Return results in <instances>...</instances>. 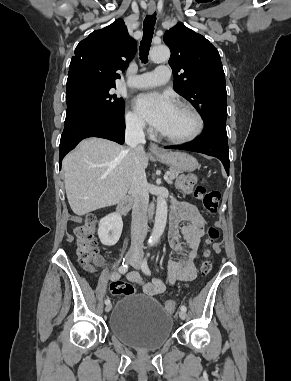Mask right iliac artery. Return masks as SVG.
<instances>
[{
    "mask_svg": "<svg viewBox=\"0 0 291 381\" xmlns=\"http://www.w3.org/2000/svg\"><path fill=\"white\" fill-rule=\"evenodd\" d=\"M128 270V265L127 264H124V261L122 263V265L119 267L118 271L121 273V274H124L126 273ZM110 303V300L107 298L105 300V304H109Z\"/></svg>",
    "mask_w": 291,
    "mask_h": 381,
    "instance_id": "right-iliac-artery-1",
    "label": "right iliac artery"
}]
</instances>
